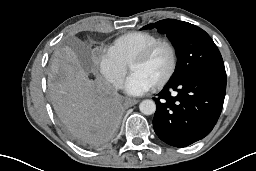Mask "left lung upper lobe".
Instances as JSON below:
<instances>
[{
    "mask_svg": "<svg viewBox=\"0 0 256 171\" xmlns=\"http://www.w3.org/2000/svg\"><path fill=\"white\" fill-rule=\"evenodd\" d=\"M166 33L176 50V69L169 82L186 74L207 69H225L221 54L210 36L198 26L175 19H164L144 26Z\"/></svg>",
    "mask_w": 256,
    "mask_h": 171,
    "instance_id": "5c2ea615",
    "label": "left lung upper lobe"
}]
</instances>
